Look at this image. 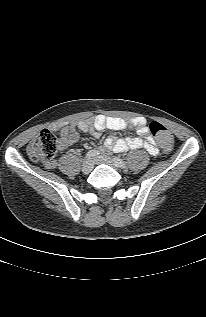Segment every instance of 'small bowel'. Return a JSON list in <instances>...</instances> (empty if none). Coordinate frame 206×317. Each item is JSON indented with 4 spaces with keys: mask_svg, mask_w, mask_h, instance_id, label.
I'll return each instance as SVG.
<instances>
[{
    "mask_svg": "<svg viewBox=\"0 0 206 317\" xmlns=\"http://www.w3.org/2000/svg\"><path fill=\"white\" fill-rule=\"evenodd\" d=\"M133 127H136L138 134L145 139H142L141 137L117 138L116 136L111 135L106 138L105 146L115 152H124L129 149H145L149 154L157 155L159 150L153 137L150 135L146 121L143 118H135L132 122L128 123L119 117L97 115L90 119L73 122L69 128L73 131L79 129L82 132H89L93 137L99 138L104 129L117 131L131 129ZM75 138L76 132L75 136L72 138L62 137L59 141L58 148H67L74 142ZM46 165L49 168H53L56 166V162L50 161L47 162Z\"/></svg>",
    "mask_w": 206,
    "mask_h": 317,
    "instance_id": "obj_1",
    "label": "small bowel"
}]
</instances>
